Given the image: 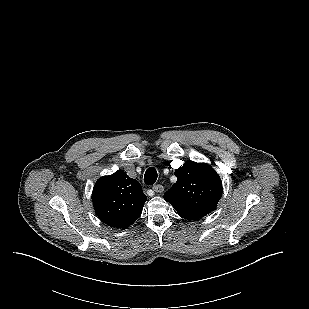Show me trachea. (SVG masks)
I'll return each mask as SVG.
<instances>
[{
    "mask_svg": "<svg viewBox=\"0 0 309 309\" xmlns=\"http://www.w3.org/2000/svg\"><path fill=\"white\" fill-rule=\"evenodd\" d=\"M157 171L154 167H150L146 170L144 175V182L147 185H153L157 180Z\"/></svg>",
    "mask_w": 309,
    "mask_h": 309,
    "instance_id": "trachea-1",
    "label": "trachea"
}]
</instances>
